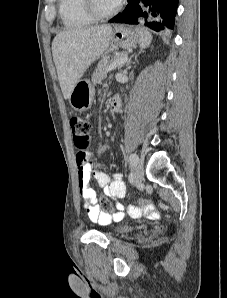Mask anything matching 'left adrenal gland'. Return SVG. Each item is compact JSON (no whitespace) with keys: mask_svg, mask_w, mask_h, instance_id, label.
<instances>
[{"mask_svg":"<svg viewBox=\"0 0 227 298\" xmlns=\"http://www.w3.org/2000/svg\"><path fill=\"white\" fill-rule=\"evenodd\" d=\"M141 53H143V50H142V49L139 51L138 54H133V55H131L130 58H129V60H128L127 63H126V67H129V66L131 65V63H132V58H133V57H135V59H137V57H138Z\"/></svg>","mask_w":227,"mask_h":298,"instance_id":"left-adrenal-gland-1","label":"left adrenal gland"}]
</instances>
